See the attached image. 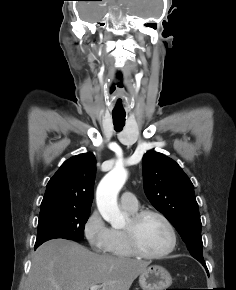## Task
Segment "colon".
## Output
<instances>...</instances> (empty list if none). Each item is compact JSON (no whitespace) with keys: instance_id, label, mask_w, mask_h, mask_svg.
<instances>
[{"instance_id":"colon-1","label":"colon","mask_w":236,"mask_h":290,"mask_svg":"<svg viewBox=\"0 0 236 290\" xmlns=\"http://www.w3.org/2000/svg\"><path fill=\"white\" fill-rule=\"evenodd\" d=\"M167 290H177V289H167Z\"/></svg>"}]
</instances>
